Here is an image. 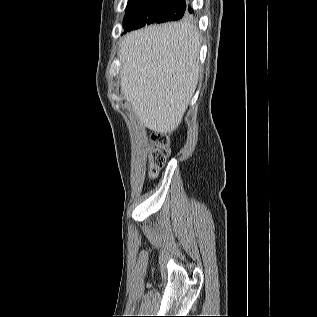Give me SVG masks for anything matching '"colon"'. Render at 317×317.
I'll return each mask as SVG.
<instances>
[{"label": "colon", "mask_w": 317, "mask_h": 317, "mask_svg": "<svg viewBox=\"0 0 317 317\" xmlns=\"http://www.w3.org/2000/svg\"><path fill=\"white\" fill-rule=\"evenodd\" d=\"M154 145L151 150L149 174L155 177L159 169L164 165L168 155V140L162 136H154Z\"/></svg>", "instance_id": "5ec220e1"}]
</instances>
